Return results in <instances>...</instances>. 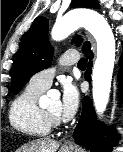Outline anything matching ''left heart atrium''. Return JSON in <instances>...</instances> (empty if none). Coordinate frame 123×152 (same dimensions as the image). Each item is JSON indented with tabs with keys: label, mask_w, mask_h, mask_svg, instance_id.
Wrapping results in <instances>:
<instances>
[{
	"label": "left heart atrium",
	"mask_w": 123,
	"mask_h": 152,
	"mask_svg": "<svg viewBox=\"0 0 123 152\" xmlns=\"http://www.w3.org/2000/svg\"><path fill=\"white\" fill-rule=\"evenodd\" d=\"M79 106V92L77 87L69 81L63 84L59 115L64 121L70 120Z\"/></svg>",
	"instance_id": "1"
}]
</instances>
